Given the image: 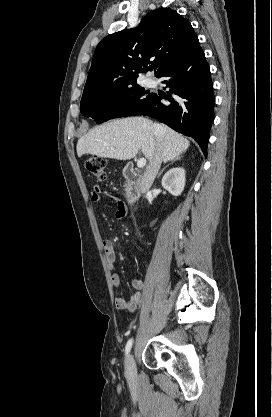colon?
Wrapping results in <instances>:
<instances>
[{"instance_id":"1","label":"colon","mask_w":272,"mask_h":417,"mask_svg":"<svg viewBox=\"0 0 272 417\" xmlns=\"http://www.w3.org/2000/svg\"><path fill=\"white\" fill-rule=\"evenodd\" d=\"M86 169L100 180H104L107 177V162L104 158L99 156H91L85 160ZM137 308V304H130L129 309L134 311Z\"/></svg>"}]
</instances>
